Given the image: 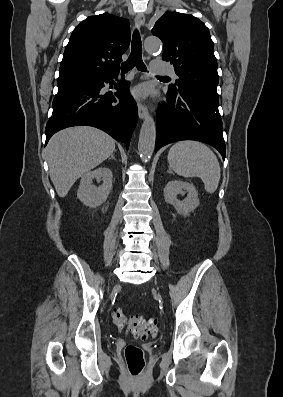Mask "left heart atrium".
I'll list each match as a JSON object with an SVG mask.
<instances>
[{
	"label": "left heart atrium",
	"instance_id": "left-heart-atrium-1",
	"mask_svg": "<svg viewBox=\"0 0 283 397\" xmlns=\"http://www.w3.org/2000/svg\"><path fill=\"white\" fill-rule=\"evenodd\" d=\"M149 93H150V90H149V88H148L147 86H145V85H140V86L136 87V88L133 90V95H134L136 98H139V99H144V98H146V97L149 95Z\"/></svg>",
	"mask_w": 283,
	"mask_h": 397
}]
</instances>
